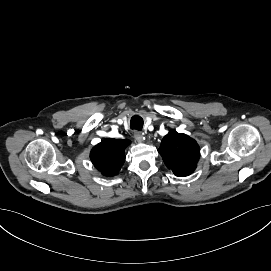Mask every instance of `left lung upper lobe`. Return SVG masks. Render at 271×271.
<instances>
[{
  "label": "left lung upper lobe",
  "mask_w": 271,
  "mask_h": 271,
  "mask_svg": "<svg viewBox=\"0 0 271 271\" xmlns=\"http://www.w3.org/2000/svg\"><path fill=\"white\" fill-rule=\"evenodd\" d=\"M199 151V145L194 139L175 130H170L164 136L158 149L165 165L179 177L193 173L200 157Z\"/></svg>",
  "instance_id": "5c2ea615"
}]
</instances>
